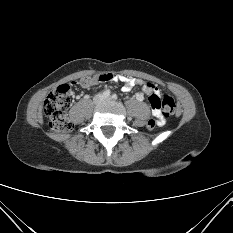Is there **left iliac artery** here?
Returning <instances> with one entry per match:
<instances>
[{"label": "left iliac artery", "mask_w": 233, "mask_h": 233, "mask_svg": "<svg viewBox=\"0 0 233 233\" xmlns=\"http://www.w3.org/2000/svg\"><path fill=\"white\" fill-rule=\"evenodd\" d=\"M118 98V96L116 94L112 95V99L116 100Z\"/></svg>", "instance_id": "1"}]
</instances>
